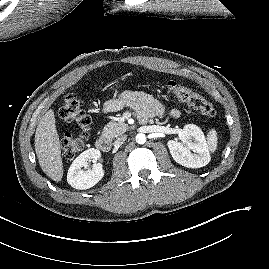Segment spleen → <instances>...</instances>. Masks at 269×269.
<instances>
[{
  "mask_svg": "<svg viewBox=\"0 0 269 269\" xmlns=\"http://www.w3.org/2000/svg\"><path fill=\"white\" fill-rule=\"evenodd\" d=\"M207 145L211 152H214L217 148V132L215 129H211L207 135Z\"/></svg>",
  "mask_w": 269,
  "mask_h": 269,
  "instance_id": "spleen-1",
  "label": "spleen"
}]
</instances>
